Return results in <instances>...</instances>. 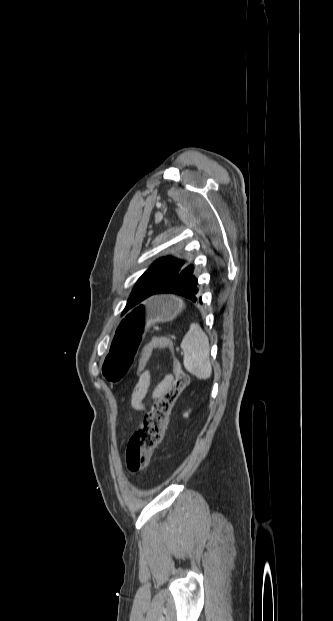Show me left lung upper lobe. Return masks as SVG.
<instances>
[{
    "label": "left lung upper lobe",
    "mask_w": 333,
    "mask_h": 621,
    "mask_svg": "<svg viewBox=\"0 0 333 621\" xmlns=\"http://www.w3.org/2000/svg\"><path fill=\"white\" fill-rule=\"evenodd\" d=\"M192 269V265L171 256L157 259L138 279L123 313L134 309L142 301L153 296L159 288L170 280Z\"/></svg>",
    "instance_id": "1"
}]
</instances>
